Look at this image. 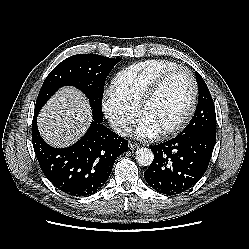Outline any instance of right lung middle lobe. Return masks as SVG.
Here are the masks:
<instances>
[{"instance_id": "obj_1", "label": "right lung middle lobe", "mask_w": 249, "mask_h": 249, "mask_svg": "<svg viewBox=\"0 0 249 249\" xmlns=\"http://www.w3.org/2000/svg\"><path fill=\"white\" fill-rule=\"evenodd\" d=\"M120 58H108L95 54L73 55L59 63L46 77L38 94L34 114H38L45 102L62 86H74L89 99L93 118L103 121L102 97L105 80Z\"/></svg>"}]
</instances>
